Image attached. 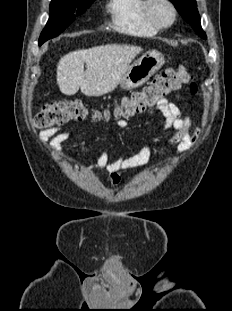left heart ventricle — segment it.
Returning a JSON list of instances; mask_svg holds the SVG:
<instances>
[{
  "mask_svg": "<svg viewBox=\"0 0 232 311\" xmlns=\"http://www.w3.org/2000/svg\"><path fill=\"white\" fill-rule=\"evenodd\" d=\"M152 16L160 23H168L171 20V11L164 3H156L152 7Z\"/></svg>",
  "mask_w": 232,
  "mask_h": 311,
  "instance_id": "obj_1",
  "label": "left heart ventricle"
}]
</instances>
